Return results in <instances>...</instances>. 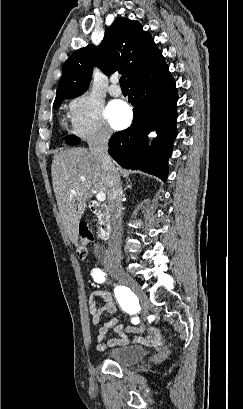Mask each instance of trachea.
<instances>
[{
    "instance_id": "obj_1",
    "label": "trachea",
    "mask_w": 243,
    "mask_h": 409,
    "mask_svg": "<svg viewBox=\"0 0 243 409\" xmlns=\"http://www.w3.org/2000/svg\"><path fill=\"white\" fill-rule=\"evenodd\" d=\"M119 81H120V86H121V87H128V84H127V80H126V76H125V75H122Z\"/></svg>"
}]
</instances>
